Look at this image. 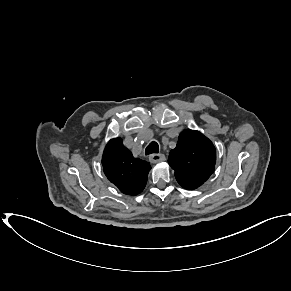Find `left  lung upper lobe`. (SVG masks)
<instances>
[{
	"mask_svg": "<svg viewBox=\"0 0 291 291\" xmlns=\"http://www.w3.org/2000/svg\"><path fill=\"white\" fill-rule=\"evenodd\" d=\"M215 162L213 143L199 131L190 129L179 135L176 148L168 157L177 182L188 190L198 188L211 176Z\"/></svg>",
	"mask_w": 291,
	"mask_h": 291,
	"instance_id": "5c2ea615",
	"label": "left lung upper lobe"
}]
</instances>
